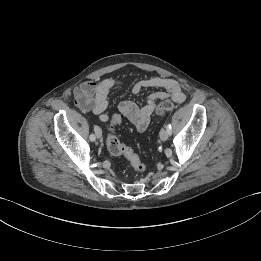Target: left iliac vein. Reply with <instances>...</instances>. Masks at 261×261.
Returning a JSON list of instances; mask_svg holds the SVG:
<instances>
[{"label":"left iliac vein","instance_id":"4c4485c4","mask_svg":"<svg viewBox=\"0 0 261 261\" xmlns=\"http://www.w3.org/2000/svg\"><path fill=\"white\" fill-rule=\"evenodd\" d=\"M160 139L162 140V141H166L167 139H168V131H167V129H161V131H160Z\"/></svg>","mask_w":261,"mask_h":261}]
</instances>
